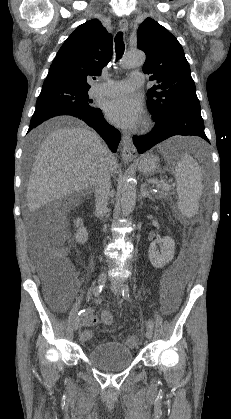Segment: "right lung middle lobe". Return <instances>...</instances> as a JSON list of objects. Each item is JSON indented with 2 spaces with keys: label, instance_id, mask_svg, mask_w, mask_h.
I'll list each match as a JSON object with an SVG mask.
<instances>
[{
  "label": "right lung middle lobe",
  "instance_id": "right-lung-middle-lobe-1",
  "mask_svg": "<svg viewBox=\"0 0 231 419\" xmlns=\"http://www.w3.org/2000/svg\"><path fill=\"white\" fill-rule=\"evenodd\" d=\"M88 89L66 85H49L42 87L36 102V108L66 109L75 112L90 113L97 108L87 94Z\"/></svg>",
  "mask_w": 231,
  "mask_h": 419
}]
</instances>
